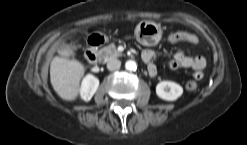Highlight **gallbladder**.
<instances>
[{
	"mask_svg": "<svg viewBox=\"0 0 247 145\" xmlns=\"http://www.w3.org/2000/svg\"><path fill=\"white\" fill-rule=\"evenodd\" d=\"M58 52L61 54H67L70 55L73 53L71 47L68 44H62L58 48Z\"/></svg>",
	"mask_w": 247,
	"mask_h": 145,
	"instance_id": "bac80fb5",
	"label": "gallbladder"
}]
</instances>
